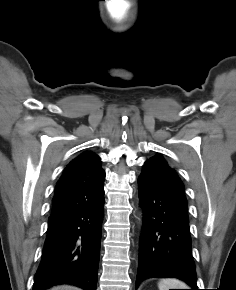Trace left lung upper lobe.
Masks as SVG:
<instances>
[{
	"mask_svg": "<svg viewBox=\"0 0 236 290\" xmlns=\"http://www.w3.org/2000/svg\"><path fill=\"white\" fill-rule=\"evenodd\" d=\"M139 177L170 186L182 193L184 190V185L177 176L175 170L170 168L164 158L160 155H156L144 163L143 171Z\"/></svg>",
	"mask_w": 236,
	"mask_h": 290,
	"instance_id": "5c2ea615",
	"label": "left lung upper lobe"
}]
</instances>
